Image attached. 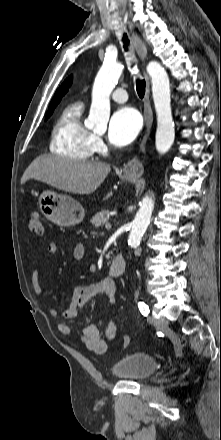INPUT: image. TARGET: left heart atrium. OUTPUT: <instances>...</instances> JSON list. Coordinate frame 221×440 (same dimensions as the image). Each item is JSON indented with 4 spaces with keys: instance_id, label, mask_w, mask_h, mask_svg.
Segmentation results:
<instances>
[{
    "instance_id": "39dd6f15",
    "label": "left heart atrium",
    "mask_w": 221,
    "mask_h": 440,
    "mask_svg": "<svg viewBox=\"0 0 221 440\" xmlns=\"http://www.w3.org/2000/svg\"><path fill=\"white\" fill-rule=\"evenodd\" d=\"M141 128V117L131 107L117 110L110 119L108 137L112 144L125 146L131 143Z\"/></svg>"
}]
</instances>
